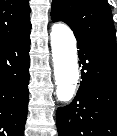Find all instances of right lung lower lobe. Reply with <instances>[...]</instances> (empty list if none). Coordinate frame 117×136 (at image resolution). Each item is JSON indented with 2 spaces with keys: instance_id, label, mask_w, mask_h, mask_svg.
<instances>
[{
  "instance_id": "1",
  "label": "right lung lower lobe",
  "mask_w": 117,
  "mask_h": 136,
  "mask_svg": "<svg viewBox=\"0 0 117 136\" xmlns=\"http://www.w3.org/2000/svg\"><path fill=\"white\" fill-rule=\"evenodd\" d=\"M30 29L0 43V136H23L27 118Z\"/></svg>"
}]
</instances>
